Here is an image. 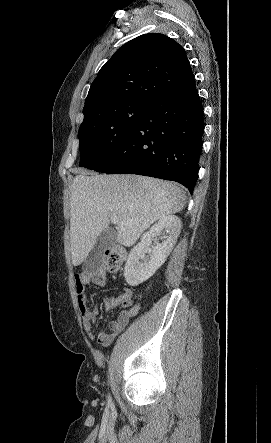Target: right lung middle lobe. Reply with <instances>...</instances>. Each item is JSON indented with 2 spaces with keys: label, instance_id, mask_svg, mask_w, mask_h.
<instances>
[{
  "label": "right lung middle lobe",
  "instance_id": "1",
  "mask_svg": "<svg viewBox=\"0 0 271 443\" xmlns=\"http://www.w3.org/2000/svg\"><path fill=\"white\" fill-rule=\"evenodd\" d=\"M150 102L126 100L105 105L87 117L79 128V166L95 170L115 153L138 123Z\"/></svg>",
  "mask_w": 271,
  "mask_h": 443
}]
</instances>
